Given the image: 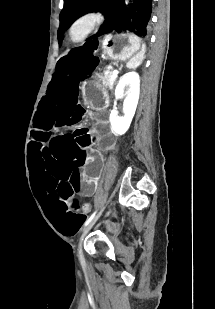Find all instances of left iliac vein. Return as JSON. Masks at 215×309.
Returning a JSON list of instances; mask_svg holds the SVG:
<instances>
[{
  "label": "left iliac vein",
  "instance_id": "4c4485c4",
  "mask_svg": "<svg viewBox=\"0 0 215 309\" xmlns=\"http://www.w3.org/2000/svg\"><path fill=\"white\" fill-rule=\"evenodd\" d=\"M102 213V212H101ZM101 215V214H100ZM99 214H97L84 228H83V232L82 235L79 239V243H78V254L80 256H82V245H83V240L85 238V236L87 235V233L91 230L92 226L96 223V221L98 220V218L100 217Z\"/></svg>",
  "mask_w": 215,
  "mask_h": 309
}]
</instances>
